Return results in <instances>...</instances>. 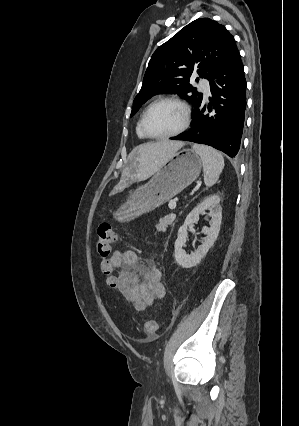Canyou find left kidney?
Masks as SVG:
<instances>
[{
    "mask_svg": "<svg viewBox=\"0 0 299 426\" xmlns=\"http://www.w3.org/2000/svg\"><path fill=\"white\" fill-rule=\"evenodd\" d=\"M205 210H209L212 218L210 227H203L202 233L206 234L204 242L190 255L186 254L183 247L186 243L187 230L190 225L199 220V215ZM222 220V208L220 206V197L211 195L200 202L186 217L184 224L178 231V237L175 241V259L183 268H191L200 263L209 249L216 241Z\"/></svg>",
    "mask_w": 299,
    "mask_h": 426,
    "instance_id": "5707ae66",
    "label": "left kidney"
}]
</instances>
